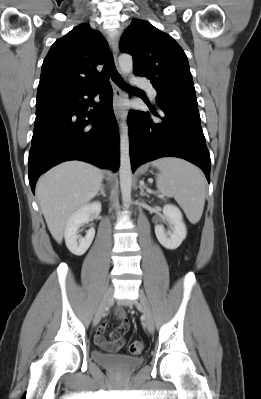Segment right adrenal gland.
Returning <instances> with one entry per match:
<instances>
[{
    "label": "right adrenal gland",
    "mask_w": 261,
    "mask_h": 399,
    "mask_svg": "<svg viewBox=\"0 0 261 399\" xmlns=\"http://www.w3.org/2000/svg\"><path fill=\"white\" fill-rule=\"evenodd\" d=\"M102 195L103 197H106V193H105V185L101 184L100 189H99V193L96 194V196H100Z\"/></svg>",
    "instance_id": "1"
}]
</instances>
